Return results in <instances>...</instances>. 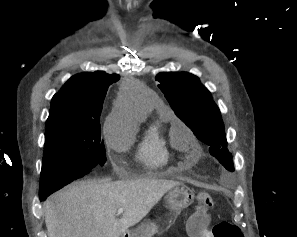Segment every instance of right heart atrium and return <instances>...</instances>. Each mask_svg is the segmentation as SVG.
Masks as SVG:
<instances>
[{
    "instance_id": "1",
    "label": "right heart atrium",
    "mask_w": 297,
    "mask_h": 237,
    "mask_svg": "<svg viewBox=\"0 0 297 237\" xmlns=\"http://www.w3.org/2000/svg\"><path fill=\"white\" fill-rule=\"evenodd\" d=\"M116 121L114 118L109 117L103 126V133L105 134L106 140L109 144L115 143V133L113 132V129L115 127Z\"/></svg>"
}]
</instances>
